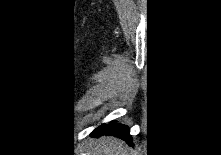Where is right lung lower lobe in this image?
<instances>
[{"label":"right lung lower lobe","instance_id":"obj_1","mask_svg":"<svg viewBox=\"0 0 221 155\" xmlns=\"http://www.w3.org/2000/svg\"><path fill=\"white\" fill-rule=\"evenodd\" d=\"M92 136L98 137L101 135H112L125 140L130 146H133L132 138L129 133V128L125 125L115 124L114 121L109 124H102L97 127L92 133Z\"/></svg>","mask_w":221,"mask_h":155}]
</instances>
